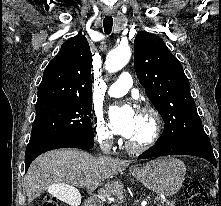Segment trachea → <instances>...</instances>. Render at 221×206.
Wrapping results in <instances>:
<instances>
[{"instance_id":"3493384b","label":"trachea","mask_w":221,"mask_h":206,"mask_svg":"<svg viewBox=\"0 0 221 206\" xmlns=\"http://www.w3.org/2000/svg\"><path fill=\"white\" fill-rule=\"evenodd\" d=\"M104 31L106 34H110L113 26V19L111 16L105 17L103 20Z\"/></svg>"}]
</instances>
